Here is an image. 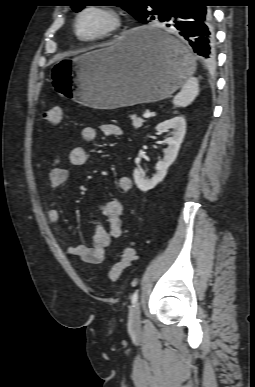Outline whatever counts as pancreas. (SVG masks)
<instances>
[{
  "instance_id": "pancreas-1",
  "label": "pancreas",
  "mask_w": 255,
  "mask_h": 387,
  "mask_svg": "<svg viewBox=\"0 0 255 387\" xmlns=\"http://www.w3.org/2000/svg\"><path fill=\"white\" fill-rule=\"evenodd\" d=\"M132 119V125L135 129H138L143 126V123L145 122L142 118L137 116H131Z\"/></svg>"
}]
</instances>
